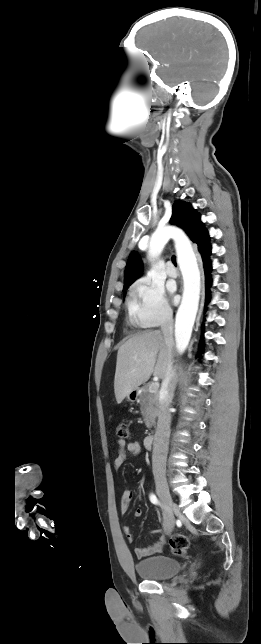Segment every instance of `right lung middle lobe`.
I'll return each instance as SVG.
<instances>
[{
	"mask_svg": "<svg viewBox=\"0 0 261 644\" xmlns=\"http://www.w3.org/2000/svg\"><path fill=\"white\" fill-rule=\"evenodd\" d=\"M127 290V288H124L123 291Z\"/></svg>",
	"mask_w": 261,
	"mask_h": 644,
	"instance_id": "dd1d6c3e",
	"label": "right lung middle lobe"
}]
</instances>
